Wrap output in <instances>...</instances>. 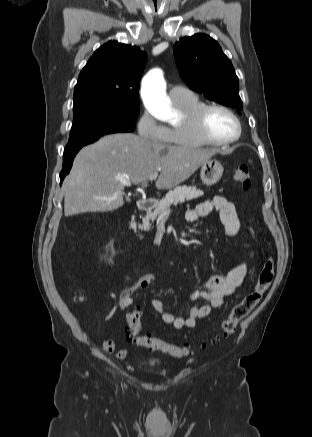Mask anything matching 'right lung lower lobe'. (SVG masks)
Listing matches in <instances>:
<instances>
[{
	"label": "right lung lower lobe",
	"instance_id": "right-lung-lower-lobe-1",
	"mask_svg": "<svg viewBox=\"0 0 312 437\" xmlns=\"http://www.w3.org/2000/svg\"><path fill=\"white\" fill-rule=\"evenodd\" d=\"M78 151L67 153L63 156V168H62V171L60 173V184H62L64 177L69 173V171L72 167V164H73V159Z\"/></svg>",
	"mask_w": 312,
	"mask_h": 437
}]
</instances>
